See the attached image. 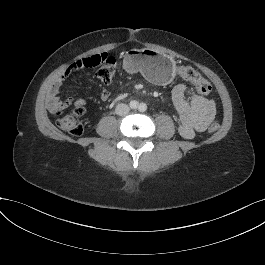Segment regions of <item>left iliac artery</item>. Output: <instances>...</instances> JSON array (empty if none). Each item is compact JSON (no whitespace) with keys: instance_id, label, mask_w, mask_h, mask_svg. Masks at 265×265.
I'll return each instance as SVG.
<instances>
[{"instance_id":"44dca946","label":"left iliac artery","mask_w":265,"mask_h":265,"mask_svg":"<svg viewBox=\"0 0 265 265\" xmlns=\"http://www.w3.org/2000/svg\"><path fill=\"white\" fill-rule=\"evenodd\" d=\"M146 109H147L146 104L141 103V104L139 105V110H140V111L144 112V111H146Z\"/></svg>"}]
</instances>
